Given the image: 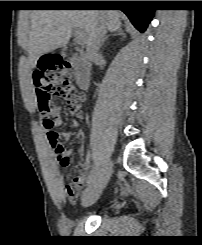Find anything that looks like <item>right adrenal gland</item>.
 <instances>
[{"mask_svg": "<svg viewBox=\"0 0 202 245\" xmlns=\"http://www.w3.org/2000/svg\"><path fill=\"white\" fill-rule=\"evenodd\" d=\"M110 36H124V33H123V31H122L121 28L113 31L110 35H108V36L105 37V39H104V41L102 43V46L105 45V42L109 39Z\"/></svg>", "mask_w": 202, "mask_h": 245, "instance_id": "right-adrenal-gland-1", "label": "right adrenal gland"}]
</instances>
